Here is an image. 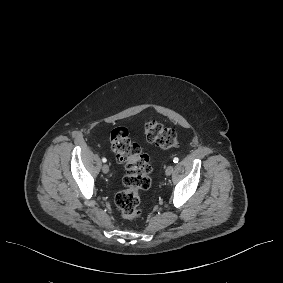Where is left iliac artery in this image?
Masks as SVG:
<instances>
[{
  "label": "left iliac artery",
  "mask_w": 283,
  "mask_h": 283,
  "mask_svg": "<svg viewBox=\"0 0 283 283\" xmlns=\"http://www.w3.org/2000/svg\"><path fill=\"white\" fill-rule=\"evenodd\" d=\"M178 161H179V159H178L177 157H175V158L173 159V162H174V163H178Z\"/></svg>",
  "instance_id": "left-iliac-artery-1"
}]
</instances>
